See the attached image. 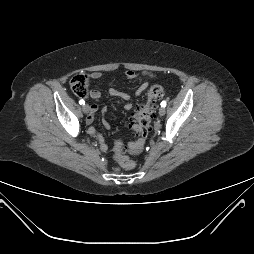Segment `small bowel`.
Returning <instances> with one entry per match:
<instances>
[{"mask_svg": "<svg viewBox=\"0 0 254 254\" xmlns=\"http://www.w3.org/2000/svg\"><path fill=\"white\" fill-rule=\"evenodd\" d=\"M89 76L92 79H98L101 77V73L100 72H93ZM124 76L128 80H135V79L141 80V84L135 91V96H137V97L142 95V93L146 90V88L148 87L149 80L155 79V77H156L155 74L152 72H137L134 70H126L124 72ZM108 92L111 96L118 97V98L124 100L126 102L125 106H124L126 110L132 109L133 104H132V98H131L130 94L120 91L116 88H110ZM100 97H101L100 91L92 90L90 92V98L92 100V104L90 105V114L86 118L87 124H92L94 122L95 114L99 110L98 101H99ZM103 112H106V109H103ZM104 126L106 129H108V130L110 129V125L106 120H104ZM88 133L91 136H94L98 139L100 149L102 151H107L108 146H107L104 138L97 132V130L94 127H90L88 130ZM141 146H142V141H138L136 143H133L131 145V148L134 150H137V149L141 148Z\"/></svg>", "mask_w": 254, "mask_h": 254, "instance_id": "1", "label": "small bowel"}]
</instances>
